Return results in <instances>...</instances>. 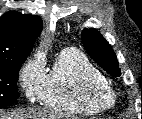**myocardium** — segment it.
<instances>
[{
    "instance_id": "myocardium-1",
    "label": "myocardium",
    "mask_w": 142,
    "mask_h": 119,
    "mask_svg": "<svg viewBox=\"0 0 142 119\" xmlns=\"http://www.w3.org/2000/svg\"><path fill=\"white\" fill-rule=\"evenodd\" d=\"M91 98L93 103L101 110L110 109L116 101L115 93L109 87H96Z\"/></svg>"
}]
</instances>
